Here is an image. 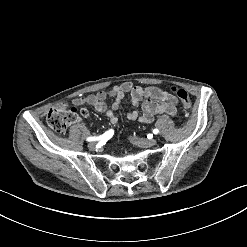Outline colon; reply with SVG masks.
<instances>
[{
	"label": "colon",
	"instance_id": "colon-1",
	"mask_svg": "<svg viewBox=\"0 0 247 247\" xmlns=\"http://www.w3.org/2000/svg\"><path fill=\"white\" fill-rule=\"evenodd\" d=\"M172 92L182 103L184 110L189 117L193 116L191 99L187 91L175 85L171 86ZM75 109L59 110L51 109L46 117L47 124L55 132H64L72 123V116Z\"/></svg>",
	"mask_w": 247,
	"mask_h": 247
}]
</instances>
